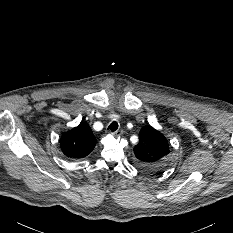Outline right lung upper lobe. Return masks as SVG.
Returning a JSON list of instances; mask_svg holds the SVG:
<instances>
[{"instance_id":"1","label":"right lung upper lobe","mask_w":233,"mask_h":233,"mask_svg":"<svg viewBox=\"0 0 233 233\" xmlns=\"http://www.w3.org/2000/svg\"><path fill=\"white\" fill-rule=\"evenodd\" d=\"M96 139L87 123L64 133L60 140L62 152L71 158H83L95 147Z\"/></svg>"}]
</instances>
